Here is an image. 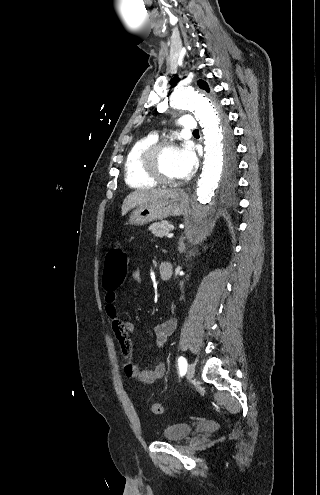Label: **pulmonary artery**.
Here are the masks:
<instances>
[{
    "mask_svg": "<svg viewBox=\"0 0 320 495\" xmlns=\"http://www.w3.org/2000/svg\"><path fill=\"white\" fill-rule=\"evenodd\" d=\"M179 126L184 131L197 130V123L192 116L185 115L178 119Z\"/></svg>",
    "mask_w": 320,
    "mask_h": 495,
    "instance_id": "1",
    "label": "pulmonary artery"
}]
</instances>
